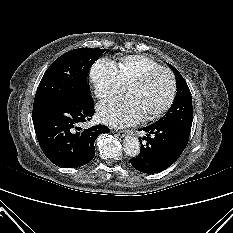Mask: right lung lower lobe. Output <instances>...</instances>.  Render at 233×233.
<instances>
[{
  "label": "right lung lower lobe",
  "mask_w": 233,
  "mask_h": 233,
  "mask_svg": "<svg viewBox=\"0 0 233 233\" xmlns=\"http://www.w3.org/2000/svg\"><path fill=\"white\" fill-rule=\"evenodd\" d=\"M93 115L91 96L77 102L50 103L33 108L32 118L38 142L52 163L62 168H77L94 158L95 139L110 130L104 125L83 131L77 127L89 121Z\"/></svg>",
  "instance_id": "right-lung-lower-lobe-1"
}]
</instances>
